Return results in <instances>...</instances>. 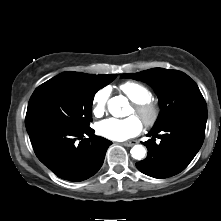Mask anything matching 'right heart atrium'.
Instances as JSON below:
<instances>
[{
    "instance_id": "obj_1",
    "label": "right heart atrium",
    "mask_w": 221,
    "mask_h": 221,
    "mask_svg": "<svg viewBox=\"0 0 221 221\" xmlns=\"http://www.w3.org/2000/svg\"><path fill=\"white\" fill-rule=\"evenodd\" d=\"M110 93L109 87H103L94 94L92 100V112L95 116L99 117L104 114Z\"/></svg>"
}]
</instances>
